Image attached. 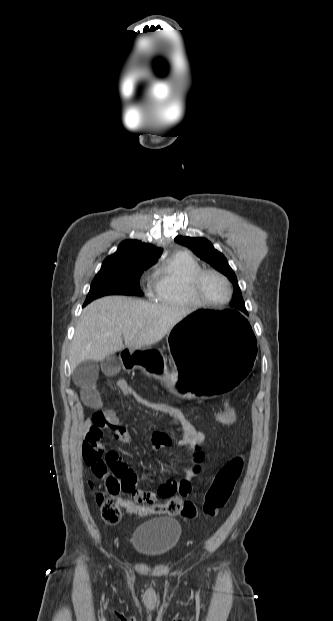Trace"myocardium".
Returning a JSON list of instances; mask_svg holds the SVG:
<instances>
[{"label": "myocardium", "instance_id": "1", "mask_svg": "<svg viewBox=\"0 0 333 621\" xmlns=\"http://www.w3.org/2000/svg\"><path fill=\"white\" fill-rule=\"evenodd\" d=\"M207 275H214L218 278H220L227 286V296L224 300L222 301H211L208 300L207 298H205L200 291V286H201V282L204 279L205 276ZM190 293L192 295V298L194 299V301L196 302V304L198 305H204V306H210V307H216V306H223L225 304H227L233 294V286L231 281L227 278V276H225L223 273L215 270V269H202L200 270L191 280L190 282Z\"/></svg>", "mask_w": 333, "mask_h": 621}]
</instances>
